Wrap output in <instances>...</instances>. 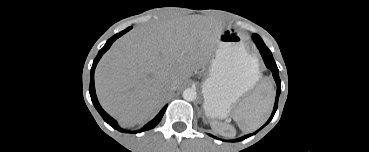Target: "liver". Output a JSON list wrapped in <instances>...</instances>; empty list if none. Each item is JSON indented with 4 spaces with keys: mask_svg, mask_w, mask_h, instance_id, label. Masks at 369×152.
<instances>
[{
    "mask_svg": "<svg viewBox=\"0 0 369 152\" xmlns=\"http://www.w3.org/2000/svg\"><path fill=\"white\" fill-rule=\"evenodd\" d=\"M221 27L211 20L174 19L134 28L104 54L95 71L102 107L122 126L152 117L167 81L181 86L215 49Z\"/></svg>",
    "mask_w": 369,
    "mask_h": 152,
    "instance_id": "obj_1",
    "label": "liver"
}]
</instances>
